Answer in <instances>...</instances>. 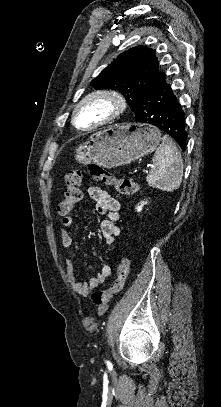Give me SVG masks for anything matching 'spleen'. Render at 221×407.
Masks as SVG:
<instances>
[{"label":"spleen","mask_w":221,"mask_h":407,"mask_svg":"<svg viewBox=\"0 0 221 407\" xmlns=\"http://www.w3.org/2000/svg\"><path fill=\"white\" fill-rule=\"evenodd\" d=\"M161 141L152 159L154 168L146 177V181L153 188L172 192L178 189L182 182L183 159L169 136L164 135Z\"/></svg>","instance_id":"spleen-1"}]
</instances>
